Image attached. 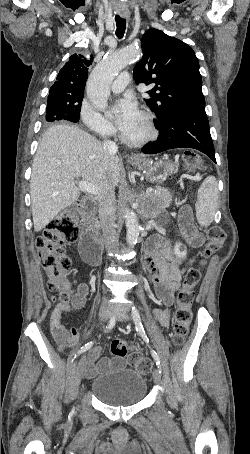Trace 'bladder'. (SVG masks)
<instances>
[{
    "mask_svg": "<svg viewBox=\"0 0 250 454\" xmlns=\"http://www.w3.org/2000/svg\"><path fill=\"white\" fill-rule=\"evenodd\" d=\"M147 388L146 377L141 372L127 367L104 372L92 380L90 387L91 393L98 400L114 407L130 406L141 402Z\"/></svg>",
    "mask_w": 250,
    "mask_h": 454,
    "instance_id": "1",
    "label": "bladder"
}]
</instances>
